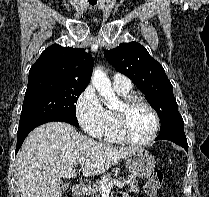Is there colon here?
<instances>
[{
  "mask_svg": "<svg viewBox=\"0 0 209 197\" xmlns=\"http://www.w3.org/2000/svg\"><path fill=\"white\" fill-rule=\"evenodd\" d=\"M163 181H164V174L159 170L153 171L148 181L145 184V192L150 197H153L162 187Z\"/></svg>",
  "mask_w": 209,
  "mask_h": 197,
  "instance_id": "colon-1",
  "label": "colon"
}]
</instances>
